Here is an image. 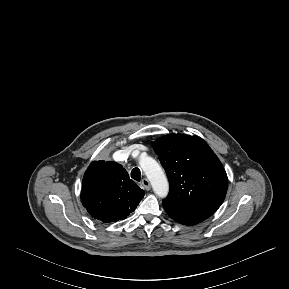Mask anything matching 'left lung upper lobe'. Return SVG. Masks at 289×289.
Wrapping results in <instances>:
<instances>
[{
  "instance_id": "5c2ea615",
  "label": "left lung upper lobe",
  "mask_w": 289,
  "mask_h": 289,
  "mask_svg": "<svg viewBox=\"0 0 289 289\" xmlns=\"http://www.w3.org/2000/svg\"><path fill=\"white\" fill-rule=\"evenodd\" d=\"M170 185L163 205L205 217L226 196L228 179L222 163L200 137L169 134L154 143Z\"/></svg>"
}]
</instances>
